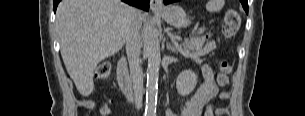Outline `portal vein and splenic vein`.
<instances>
[{
	"mask_svg": "<svg viewBox=\"0 0 305 116\" xmlns=\"http://www.w3.org/2000/svg\"><path fill=\"white\" fill-rule=\"evenodd\" d=\"M172 40L175 42V38L174 37H172ZM176 43V42H175Z\"/></svg>",
	"mask_w": 305,
	"mask_h": 116,
	"instance_id": "1",
	"label": "portal vein and splenic vein"
}]
</instances>
